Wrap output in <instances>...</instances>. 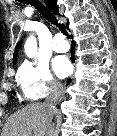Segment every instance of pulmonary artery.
Returning a JSON list of instances; mask_svg holds the SVG:
<instances>
[{
  "instance_id": "1",
  "label": "pulmonary artery",
  "mask_w": 117,
  "mask_h": 136,
  "mask_svg": "<svg viewBox=\"0 0 117 136\" xmlns=\"http://www.w3.org/2000/svg\"><path fill=\"white\" fill-rule=\"evenodd\" d=\"M52 49L55 52L63 53L68 51L69 45L64 39H62L59 35H57L54 37L52 41Z\"/></svg>"
}]
</instances>
